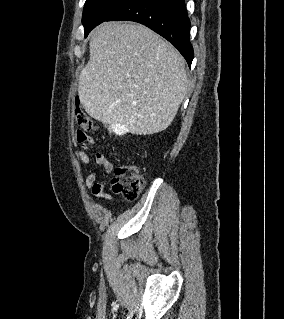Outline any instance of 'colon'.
I'll use <instances>...</instances> for the list:
<instances>
[{
    "mask_svg": "<svg viewBox=\"0 0 284 319\" xmlns=\"http://www.w3.org/2000/svg\"><path fill=\"white\" fill-rule=\"evenodd\" d=\"M75 121L83 131L95 130L93 121L83 111H75ZM144 179L138 168L134 165H120L114 170L111 180L113 192L127 200H134L143 187Z\"/></svg>",
    "mask_w": 284,
    "mask_h": 319,
    "instance_id": "obj_1",
    "label": "colon"
}]
</instances>
